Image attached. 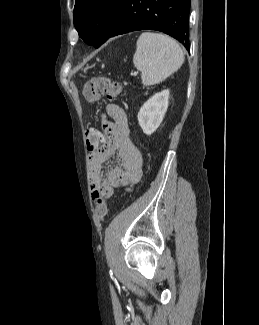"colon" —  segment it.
Returning a JSON list of instances; mask_svg holds the SVG:
<instances>
[{
	"mask_svg": "<svg viewBox=\"0 0 259 325\" xmlns=\"http://www.w3.org/2000/svg\"><path fill=\"white\" fill-rule=\"evenodd\" d=\"M83 94L87 101L96 102L103 97L108 99L119 97L123 94V88L119 82L114 81L109 77L98 76L89 79L85 83ZM100 141L101 136L96 135V126L90 125L86 130V148L100 149ZM96 214L100 220H104L108 214L107 203L102 198L97 200Z\"/></svg>",
	"mask_w": 259,
	"mask_h": 325,
	"instance_id": "colon-1",
	"label": "colon"
}]
</instances>
